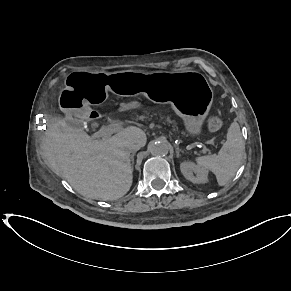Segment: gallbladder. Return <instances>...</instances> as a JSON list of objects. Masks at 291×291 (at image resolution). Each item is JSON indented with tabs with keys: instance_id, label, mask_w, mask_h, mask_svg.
Instances as JSON below:
<instances>
[{
	"instance_id": "gallbladder-1",
	"label": "gallbladder",
	"mask_w": 291,
	"mask_h": 291,
	"mask_svg": "<svg viewBox=\"0 0 291 291\" xmlns=\"http://www.w3.org/2000/svg\"><path fill=\"white\" fill-rule=\"evenodd\" d=\"M66 122L68 123V125L72 126V127H76L79 128L81 127V124L79 121H77L76 119L73 118H66Z\"/></svg>"
}]
</instances>
